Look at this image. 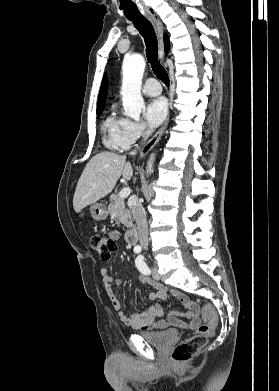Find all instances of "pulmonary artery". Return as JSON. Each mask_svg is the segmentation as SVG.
<instances>
[{
    "label": "pulmonary artery",
    "mask_w": 279,
    "mask_h": 391,
    "mask_svg": "<svg viewBox=\"0 0 279 391\" xmlns=\"http://www.w3.org/2000/svg\"><path fill=\"white\" fill-rule=\"evenodd\" d=\"M142 90L145 94L151 96H157L162 91L158 81L153 78H149L146 80Z\"/></svg>",
    "instance_id": "pulmonary-artery-1"
}]
</instances>
